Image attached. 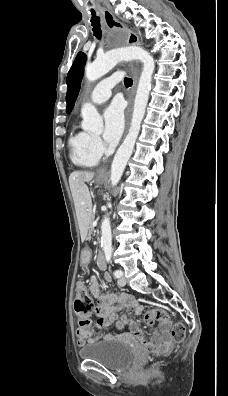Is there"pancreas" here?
<instances>
[{"mask_svg":"<svg viewBox=\"0 0 228 396\" xmlns=\"http://www.w3.org/2000/svg\"><path fill=\"white\" fill-rule=\"evenodd\" d=\"M91 218H92V221L96 218V215L95 214H92L91 215ZM94 230V228H93V226L91 225L90 226V229H89V236L92 238L93 236L91 235L92 234V231ZM89 240H90V238H89Z\"/></svg>","mask_w":228,"mask_h":396,"instance_id":"obj_1","label":"pancreas"}]
</instances>
